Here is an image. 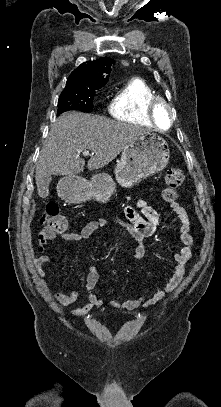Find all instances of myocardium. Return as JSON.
Returning <instances> with one entry per match:
<instances>
[{"mask_svg":"<svg viewBox=\"0 0 221 407\" xmlns=\"http://www.w3.org/2000/svg\"><path fill=\"white\" fill-rule=\"evenodd\" d=\"M162 107H164L168 111V114H169L168 126L165 129V130H167L172 126L173 121H174V119H173L174 111H173L171 104L161 97H156V98L152 99L148 104V110H149L151 121H152L153 125L159 130H164V129L160 128L157 124V111L159 108H162Z\"/></svg>","mask_w":221,"mask_h":407,"instance_id":"myocardium-1","label":"myocardium"}]
</instances>
